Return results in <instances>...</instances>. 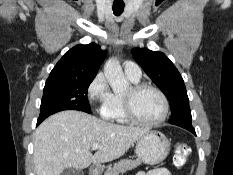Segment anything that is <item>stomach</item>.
Here are the masks:
<instances>
[{"mask_svg": "<svg viewBox=\"0 0 233 175\" xmlns=\"http://www.w3.org/2000/svg\"><path fill=\"white\" fill-rule=\"evenodd\" d=\"M170 142L159 131H148L137 140L136 154L138 159L149 165L161 163L168 156ZM93 175H98L94 173Z\"/></svg>", "mask_w": 233, "mask_h": 175, "instance_id": "0dacf381", "label": "stomach"}]
</instances>
